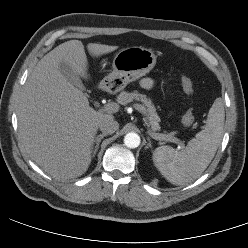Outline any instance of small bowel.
<instances>
[{"instance_id":"1","label":"small bowel","mask_w":248,"mask_h":248,"mask_svg":"<svg viewBox=\"0 0 248 248\" xmlns=\"http://www.w3.org/2000/svg\"><path fill=\"white\" fill-rule=\"evenodd\" d=\"M140 86L143 89L149 90L154 86V80L149 78V77H145V78L141 79Z\"/></svg>"}]
</instances>
